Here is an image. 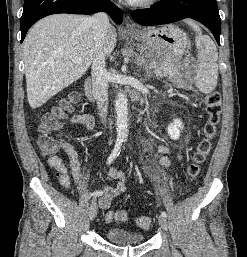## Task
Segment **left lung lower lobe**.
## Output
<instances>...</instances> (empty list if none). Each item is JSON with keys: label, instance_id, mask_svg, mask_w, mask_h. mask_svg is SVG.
Here are the masks:
<instances>
[{"label": "left lung lower lobe", "instance_id": "1", "mask_svg": "<svg viewBox=\"0 0 247 257\" xmlns=\"http://www.w3.org/2000/svg\"><path fill=\"white\" fill-rule=\"evenodd\" d=\"M132 18L145 26L191 18L209 28L220 45L221 19L216 0H161L150 8L134 10Z\"/></svg>", "mask_w": 247, "mask_h": 257}]
</instances>
